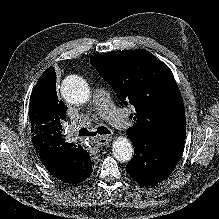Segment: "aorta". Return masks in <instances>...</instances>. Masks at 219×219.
I'll return each instance as SVG.
<instances>
[{
  "mask_svg": "<svg viewBox=\"0 0 219 219\" xmlns=\"http://www.w3.org/2000/svg\"><path fill=\"white\" fill-rule=\"evenodd\" d=\"M61 94L71 104H84L91 95L85 80L79 77H68L62 82ZM113 156L119 162H128L133 156V146L127 137H117L112 144Z\"/></svg>",
  "mask_w": 219,
  "mask_h": 219,
  "instance_id": "obj_1",
  "label": "aorta"
}]
</instances>
